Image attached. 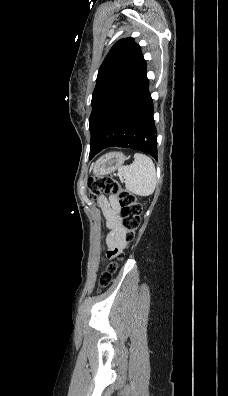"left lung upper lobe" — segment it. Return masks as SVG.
I'll return each instance as SVG.
<instances>
[{"label":"left lung upper lobe","instance_id":"obj_1","mask_svg":"<svg viewBox=\"0 0 228 396\" xmlns=\"http://www.w3.org/2000/svg\"><path fill=\"white\" fill-rule=\"evenodd\" d=\"M146 61L140 46L133 38L119 40L111 48L99 68L97 83L92 95V112L89 118L91 132L90 158L98 151L96 135L105 123L106 116L112 118L126 106L124 100L118 108H110L116 100L145 72Z\"/></svg>","mask_w":228,"mask_h":396}]
</instances>
